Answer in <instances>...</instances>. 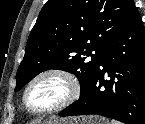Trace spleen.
<instances>
[{"label":"spleen","instance_id":"spleen-1","mask_svg":"<svg viewBox=\"0 0 145 124\" xmlns=\"http://www.w3.org/2000/svg\"><path fill=\"white\" fill-rule=\"evenodd\" d=\"M112 124H119L118 122H112Z\"/></svg>","mask_w":145,"mask_h":124}]
</instances>
